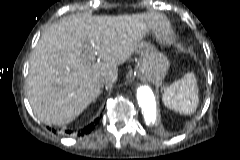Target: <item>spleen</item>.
Wrapping results in <instances>:
<instances>
[{"label":"spleen","instance_id":"3e777b00","mask_svg":"<svg viewBox=\"0 0 240 160\" xmlns=\"http://www.w3.org/2000/svg\"><path fill=\"white\" fill-rule=\"evenodd\" d=\"M164 104L179 113L192 114L198 105L197 81L193 73L172 83L163 94Z\"/></svg>","mask_w":240,"mask_h":160}]
</instances>
